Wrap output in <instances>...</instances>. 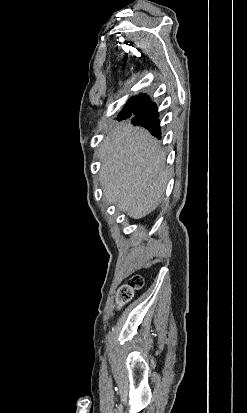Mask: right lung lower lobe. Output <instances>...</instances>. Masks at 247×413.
Returning a JSON list of instances; mask_svg holds the SVG:
<instances>
[{"label": "right lung lower lobe", "mask_w": 247, "mask_h": 413, "mask_svg": "<svg viewBox=\"0 0 247 413\" xmlns=\"http://www.w3.org/2000/svg\"><path fill=\"white\" fill-rule=\"evenodd\" d=\"M134 125L143 126L150 131V133L157 138H161L159 127L157 106L150 102V99L145 94H140L133 99H130L124 108L119 113L117 120H123L131 117Z\"/></svg>", "instance_id": "right-lung-lower-lobe-1"}]
</instances>
